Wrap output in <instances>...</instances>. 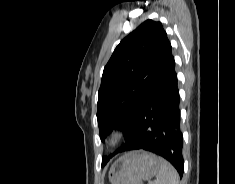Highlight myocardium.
Masks as SVG:
<instances>
[{
    "mask_svg": "<svg viewBox=\"0 0 235 184\" xmlns=\"http://www.w3.org/2000/svg\"><path fill=\"white\" fill-rule=\"evenodd\" d=\"M123 137L124 129L122 127L113 128L108 132L104 140V146L107 149L113 150L121 144Z\"/></svg>",
    "mask_w": 235,
    "mask_h": 184,
    "instance_id": "obj_1",
    "label": "myocardium"
}]
</instances>
